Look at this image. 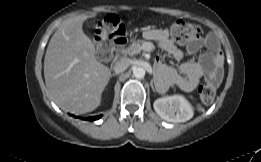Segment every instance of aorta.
Masks as SVG:
<instances>
[{"instance_id":"762f6f07","label":"aorta","mask_w":261,"mask_h":162,"mask_svg":"<svg viewBox=\"0 0 261 162\" xmlns=\"http://www.w3.org/2000/svg\"><path fill=\"white\" fill-rule=\"evenodd\" d=\"M133 76L137 79H142L145 76V70L142 67H135L133 69Z\"/></svg>"}]
</instances>
